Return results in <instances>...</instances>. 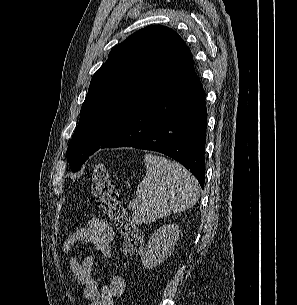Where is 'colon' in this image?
Wrapping results in <instances>:
<instances>
[{"label":"colon","instance_id":"colon-1","mask_svg":"<svg viewBox=\"0 0 297 305\" xmlns=\"http://www.w3.org/2000/svg\"><path fill=\"white\" fill-rule=\"evenodd\" d=\"M92 183L96 205L105 212L121 233L124 253L139 254L143 248V235L132 223L129 213L122 205L106 164L95 165Z\"/></svg>","mask_w":297,"mask_h":305}]
</instances>
